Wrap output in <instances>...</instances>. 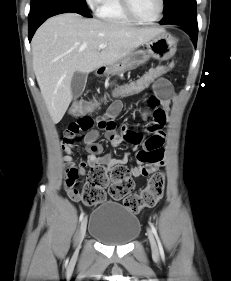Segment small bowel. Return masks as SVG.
Here are the masks:
<instances>
[{
	"label": "small bowel",
	"instance_id": "c3829d8e",
	"mask_svg": "<svg viewBox=\"0 0 231 281\" xmlns=\"http://www.w3.org/2000/svg\"><path fill=\"white\" fill-rule=\"evenodd\" d=\"M173 100L169 81L164 78L157 79L153 84V94L148 98L152 111L146 115L145 130L150 136L144 141L142 134L129 126L122 127L121 131L116 129L115 118L122 110L120 101L111 103L103 116L93 118L83 115L71 122L64 131L63 149L66 155L62 158L65 172L64 185L68 196L74 201H80L74 195L73 189L79 177L85 175L87 168L96 166L113 168L124 166L128 162L129 154H125L121 158H115L110 153L101 155L103 149L96 142L98 130L94 128L95 125L104 131L106 138L115 147L123 142L131 144L134 148L142 145V149L136 153L137 164L130 170L133 177L149 176L161 168L165 156L163 128L169 122V109ZM80 132H86V134L78 137ZM80 139L83 140L88 155L86 160L76 161L73 155L79 148L77 142Z\"/></svg>",
	"mask_w": 231,
	"mask_h": 281
}]
</instances>
